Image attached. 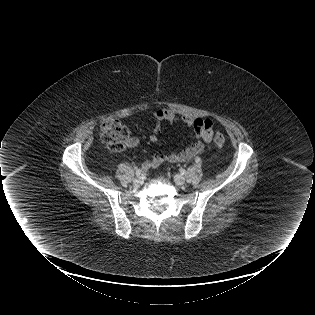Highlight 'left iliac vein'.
Listing matches in <instances>:
<instances>
[{
    "label": "left iliac vein",
    "mask_w": 315,
    "mask_h": 315,
    "mask_svg": "<svg viewBox=\"0 0 315 315\" xmlns=\"http://www.w3.org/2000/svg\"><path fill=\"white\" fill-rule=\"evenodd\" d=\"M174 182L178 185H183L186 182V178L181 174H177L174 176Z\"/></svg>",
    "instance_id": "left-iliac-vein-1"
}]
</instances>
